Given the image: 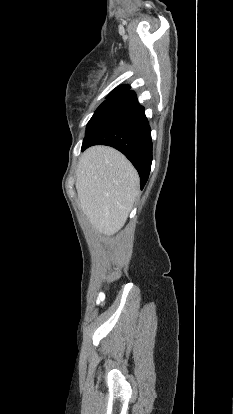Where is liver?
Returning a JSON list of instances; mask_svg holds the SVG:
<instances>
[{
  "label": "liver",
  "instance_id": "1",
  "mask_svg": "<svg viewBox=\"0 0 233 414\" xmlns=\"http://www.w3.org/2000/svg\"><path fill=\"white\" fill-rule=\"evenodd\" d=\"M75 185L80 208L92 227L111 236L124 226L139 194L140 179L123 154L99 145L81 155Z\"/></svg>",
  "mask_w": 233,
  "mask_h": 414
}]
</instances>
